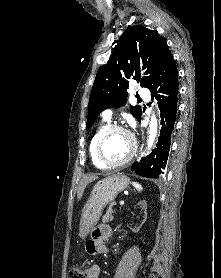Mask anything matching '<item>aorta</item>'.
Segmentation results:
<instances>
[{"instance_id":"1","label":"aorta","mask_w":221,"mask_h":278,"mask_svg":"<svg viewBox=\"0 0 221 278\" xmlns=\"http://www.w3.org/2000/svg\"><path fill=\"white\" fill-rule=\"evenodd\" d=\"M157 134V118L155 114L152 115L150 125H149V136L147 141L148 148H151Z\"/></svg>"}]
</instances>
